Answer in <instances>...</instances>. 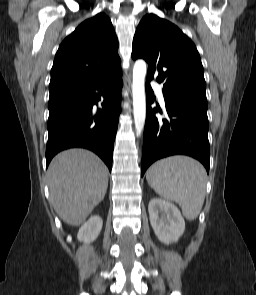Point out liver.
<instances>
[{
    "instance_id": "liver-1",
    "label": "liver",
    "mask_w": 256,
    "mask_h": 295,
    "mask_svg": "<svg viewBox=\"0 0 256 295\" xmlns=\"http://www.w3.org/2000/svg\"><path fill=\"white\" fill-rule=\"evenodd\" d=\"M50 203L67 224L79 226L103 200L108 187V169L102 160L84 149L56 155L48 171Z\"/></svg>"
}]
</instances>
